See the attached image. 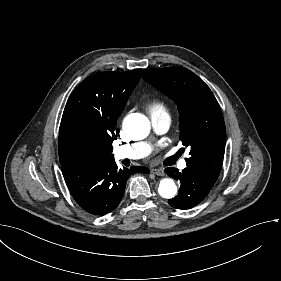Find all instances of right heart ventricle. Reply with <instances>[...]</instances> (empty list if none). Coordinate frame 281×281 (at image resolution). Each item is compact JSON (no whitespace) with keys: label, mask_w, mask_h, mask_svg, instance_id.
Wrapping results in <instances>:
<instances>
[{"label":"right heart ventricle","mask_w":281,"mask_h":281,"mask_svg":"<svg viewBox=\"0 0 281 281\" xmlns=\"http://www.w3.org/2000/svg\"><path fill=\"white\" fill-rule=\"evenodd\" d=\"M151 109L152 110H164L165 109V105L163 102L160 101H156L151 105Z\"/></svg>","instance_id":"right-heart-ventricle-1"}]
</instances>
